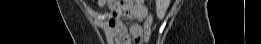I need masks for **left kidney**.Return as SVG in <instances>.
Segmentation results:
<instances>
[{
    "label": "left kidney",
    "mask_w": 261,
    "mask_h": 44,
    "mask_svg": "<svg viewBox=\"0 0 261 44\" xmlns=\"http://www.w3.org/2000/svg\"><path fill=\"white\" fill-rule=\"evenodd\" d=\"M169 6V0H156V14L158 19H163L167 8Z\"/></svg>",
    "instance_id": "obj_1"
}]
</instances>
